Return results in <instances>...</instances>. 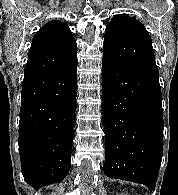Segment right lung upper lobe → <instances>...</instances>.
<instances>
[{
  "label": "right lung upper lobe",
  "mask_w": 178,
  "mask_h": 195,
  "mask_svg": "<svg viewBox=\"0 0 178 195\" xmlns=\"http://www.w3.org/2000/svg\"><path fill=\"white\" fill-rule=\"evenodd\" d=\"M76 47L68 26L48 22L32 40L24 75L70 67L77 62Z\"/></svg>",
  "instance_id": "obj_1"
}]
</instances>
